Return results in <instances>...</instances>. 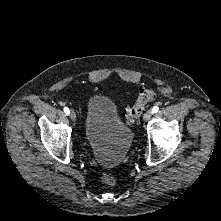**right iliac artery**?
<instances>
[{"label":"right iliac artery","mask_w":221,"mask_h":221,"mask_svg":"<svg viewBox=\"0 0 221 221\" xmlns=\"http://www.w3.org/2000/svg\"><path fill=\"white\" fill-rule=\"evenodd\" d=\"M64 113H65L66 115H68V114L70 113L69 108L65 107V108H64Z\"/></svg>","instance_id":"right-iliac-artery-1"}]
</instances>
